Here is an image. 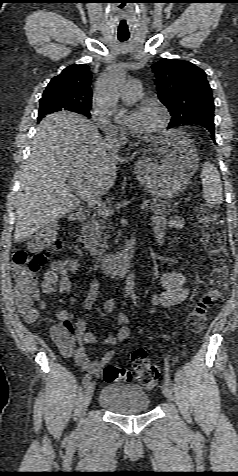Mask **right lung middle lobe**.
<instances>
[{"mask_svg":"<svg viewBox=\"0 0 238 476\" xmlns=\"http://www.w3.org/2000/svg\"><path fill=\"white\" fill-rule=\"evenodd\" d=\"M61 110H63V109H61L57 104L50 103V102H40L38 119H41L46 114H50V113L61 111ZM89 110H90V108H86V109L81 110L78 113H81V114H83L87 117H90Z\"/></svg>","mask_w":238,"mask_h":476,"instance_id":"dd1d6c3e","label":"right lung middle lobe"}]
</instances>
